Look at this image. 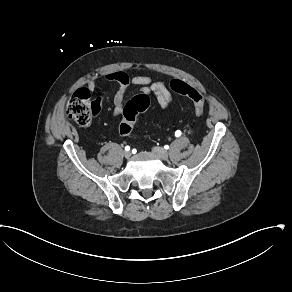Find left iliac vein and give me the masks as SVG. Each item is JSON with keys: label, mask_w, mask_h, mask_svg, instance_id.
I'll return each mask as SVG.
<instances>
[{"label": "left iliac vein", "mask_w": 292, "mask_h": 292, "mask_svg": "<svg viewBox=\"0 0 292 292\" xmlns=\"http://www.w3.org/2000/svg\"><path fill=\"white\" fill-rule=\"evenodd\" d=\"M152 151L161 160L166 161L169 158L168 152L165 149L161 148V147L155 146V147L152 148Z\"/></svg>", "instance_id": "left-iliac-vein-1"}]
</instances>
